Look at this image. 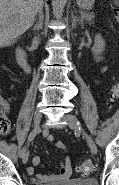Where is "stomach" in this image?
Returning <instances> with one entry per match:
<instances>
[{
	"label": "stomach",
	"mask_w": 119,
	"mask_h": 185,
	"mask_svg": "<svg viewBox=\"0 0 119 185\" xmlns=\"http://www.w3.org/2000/svg\"><path fill=\"white\" fill-rule=\"evenodd\" d=\"M95 0H77V4L81 9H91Z\"/></svg>",
	"instance_id": "0dacf381"
}]
</instances>
